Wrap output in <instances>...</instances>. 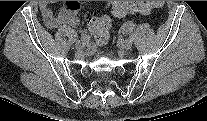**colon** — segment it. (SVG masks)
Here are the masks:
<instances>
[{"instance_id":"1","label":"colon","mask_w":207,"mask_h":121,"mask_svg":"<svg viewBox=\"0 0 207 121\" xmlns=\"http://www.w3.org/2000/svg\"><path fill=\"white\" fill-rule=\"evenodd\" d=\"M162 5L161 1H134L122 2L115 1L112 6V13L116 17H124L128 14H148L153 9ZM89 28L95 40L103 45L110 36L111 21L106 16L93 17L89 21Z\"/></svg>"}]
</instances>
